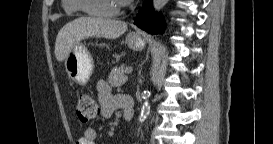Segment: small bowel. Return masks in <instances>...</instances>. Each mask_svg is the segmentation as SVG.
<instances>
[{
  "label": "small bowel",
  "mask_w": 273,
  "mask_h": 144,
  "mask_svg": "<svg viewBox=\"0 0 273 144\" xmlns=\"http://www.w3.org/2000/svg\"><path fill=\"white\" fill-rule=\"evenodd\" d=\"M98 101L101 107V115L110 118L114 113L123 110L120 95H114L108 82L101 80L97 83ZM97 131L94 128H86L83 135L77 139L75 144H95Z\"/></svg>",
  "instance_id": "c3829d8e"
}]
</instances>
